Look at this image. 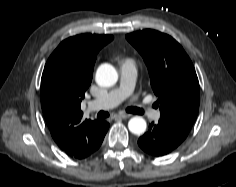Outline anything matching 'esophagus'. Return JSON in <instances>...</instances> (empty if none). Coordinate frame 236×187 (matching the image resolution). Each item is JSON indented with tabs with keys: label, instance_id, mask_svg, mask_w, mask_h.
Here are the masks:
<instances>
[{
	"label": "esophagus",
	"instance_id": "esophagus-1",
	"mask_svg": "<svg viewBox=\"0 0 236 187\" xmlns=\"http://www.w3.org/2000/svg\"><path fill=\"white\" fill-rule=\"evenodd\" d=\"M129 117H130L129 114H124V113H120V114L116 115V118H119V119H126Z\"/></svg>",
	"mask_w": 236,
	"mask_h": 187
}]
</instances>
